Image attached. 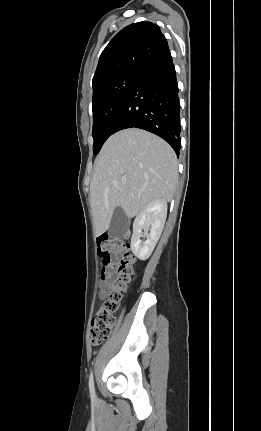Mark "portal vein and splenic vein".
I'll return each mask as SVG.
<instances>
[{"label": "portal vein and splenic vein", "instance_id": "1", "mask_svg": "<svg viewBox=\"0 0 261 431\" xmlns=\"http://www.w3.org/2000/svg\"><path fill=\"white\" fill-rule=\"evenodd\" d=\"M122 182H123V183H125V182H126V179H122Z\"/></svg>", "mask_w": 261, "mask_h": 431}]
</instances>
